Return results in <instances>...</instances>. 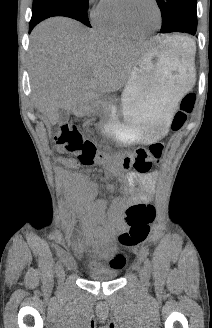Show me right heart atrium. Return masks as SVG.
<instances>
[{
	"instance_id": "obj_1",
	"label": "right heart atrium",
	"mask_w": 212,
	"mask_h": 328,
	"mask_svg": "<svg viewBox=\"0 0 212 328\" xmlns=\"http://www.w3.org/2000/svg\"><path fill=\"white\" fill-rule=\"evenodd\" d=\"M106 0H89V4L91 5L90 9V17L92 20H96L97 16L99 15L102 5Z\"/></svg>"
}]
</instances>
